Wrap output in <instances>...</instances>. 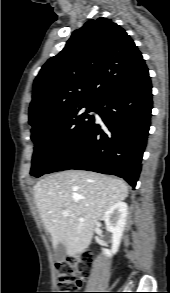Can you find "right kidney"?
<instances>
[{
  "label": "right kidney",
  "mask_w": 170,
  "mask_h": 293,
  "mask_svg": "<svg viewBox=\"0 0 170 293\" xmlns=\"http://www.w3.org/2000/svg\"><path fill=\"white\" fill-rule=\"evenodd\" d=\"M127 214L128 206L125 202L121 201L111 206L102 217L106 225V230L112 234L111 249H102L107 257H111L118 252L126 224Z\"/></svg>",
  "instance_id": "right-kidney-1"
}]
</instances>
